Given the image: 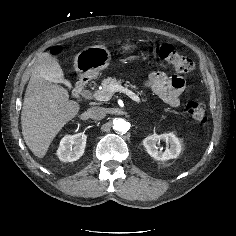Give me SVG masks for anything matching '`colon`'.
Wrapping results in <instances>:
<instances>
[{
  "mask_svg": "<svg viewBox=\"0 0 236 236\" xmlns=\"http://www.w3.org/2000/svg\"><path fill=\"white\" fill-rule=\"evenodd\" d=\"M147 53L154 58L170 64L178 74H189L194 69L193 61L178 53L169 44L152 45L147 48ZM186 111L192 120L198 124H205L208 120L206 108L200 102H188Z\"/></svg>",
  "mask_w": 236,
  "mask_h": 236,
  "instance_id": "colon-1",
  "label": "colon"
}]
</instances>
